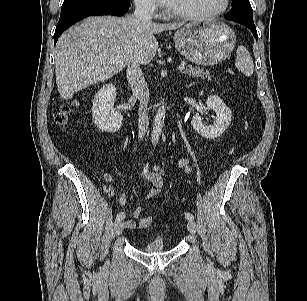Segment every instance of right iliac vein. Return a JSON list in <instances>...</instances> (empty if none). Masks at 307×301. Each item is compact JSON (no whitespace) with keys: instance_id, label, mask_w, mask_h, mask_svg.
Instances as JSON below:
<instances>
[{"instance_id":"obj_1","label":"right iliac vein","mask_w":307,"mask_h":301,"mask_svg":"<svg viewBox=\"0 0 307 301\" xmlns=\"http://www.w3.org/2000/svg\"><path fill=\"white\" fill-rule=\"evenodd\" d=\"M123 230V223L121 220H117L114 224V232L116 235H120Z\"/></svg>"}]
</instances>
